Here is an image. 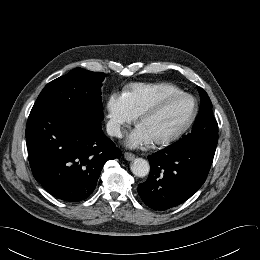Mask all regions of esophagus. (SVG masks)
Instances as JSON below:
<instances>
[{
  "label": "esophagus",
  "instance_id": "34e87169",
  "mask_svg": "<svg viewBox=\"0 0 260 260\" xmlns=\"http://www.w3.org/2000/svg\"><path fill=\"white\" fill-rule=\"evenodd\" d=\"M124 158L128 161H131L135 158V155L133 153L126 152V153H124Z\"/></svg>",
  "mask_w": 260,
  "mask_h": 260
}]
</instances>
